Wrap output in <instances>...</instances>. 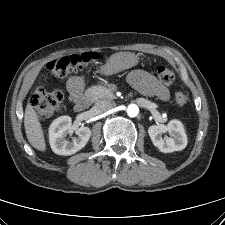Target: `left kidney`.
I'll return each instance as SVG.
<instances>
[{
	"label": "left kidney",
	"instance_id": "obj_1",
	"mask_svg": "<svg viewBox=\"0 0 225 225\" xmlns=\"http://www.w3.org/2000/svg\"><path fill=\"white\" fill-rule=\"evenodd\" d=\"M169 132L171 137L162 139L161 134ZM152 143L163 153L181 151L187 146V136L179 120H171L167 125L158 124L148 128Z\"/></svg>",
	"mask_w": 225,
	"mask_h": 225
}]
</instances>
